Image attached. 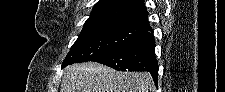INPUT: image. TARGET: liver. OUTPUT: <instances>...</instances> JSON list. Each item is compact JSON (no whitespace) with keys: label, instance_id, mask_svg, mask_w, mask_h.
I'll return each mask as SVG.
<instances>
[{"label":"liver","instance_id":"obj_1","mask_svg":"<svg viewBox=\"0 0 225 92\" xmlns=\"http://www.w3.org/2000/svg\"><path fill=\"white\" fill-rule=\"evenodd\" d=\"M148 72H119L99 63L68 66L60 92H155Z\"/></svg>","mask_w":225,"mask_h":92}]
</instances>
